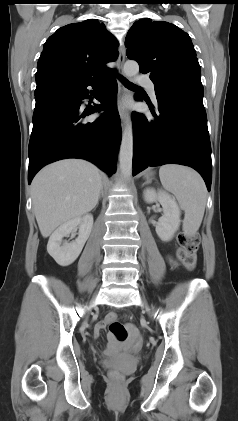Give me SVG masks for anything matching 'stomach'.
I'll list each match as a JSON object with an SVG mask.
<instances>
[{
	"label": "stomach",
	"instance_id": "obj_1",
	"mask_svg": "<svg viewBox=\"0 0 238 421\" xmlns=\"http://www.w3.org/2000/svg\"><path fill=\"white\" fill-rule=\"evenodd\" d=\"M152 175H153V173H152V172H147V173L145 174V177H146L147 179H149Z\"/></svg>",
	"mask_w": 238,
	"mask_h": 421
}]
</instances>
